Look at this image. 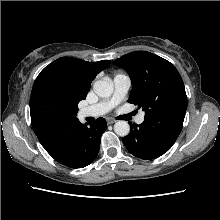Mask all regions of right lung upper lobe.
<instances>
[{"mask_svg":"<svg viewBox=\"0 0 220 220\" xmlns=\"http://www.w3.org/2000/svg\"><path fill=\"white\" fill-rule=\"evenodd\" d=\"M109 64V60L87 62L76 58L62 57L40 72L33 87L47 80L60 81L66 84L69 99L79 103V101L86 98L91 81ZM77 121L79 120L75 117L60 128H46L32 122V127L40 143L46 148L55 142L71 124Z\"/></svg>","mask_w":220,"mask_h":220,"instance_id":"obj_1","label":"right lung upper lobe"}]
</instances>
